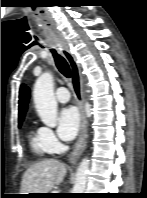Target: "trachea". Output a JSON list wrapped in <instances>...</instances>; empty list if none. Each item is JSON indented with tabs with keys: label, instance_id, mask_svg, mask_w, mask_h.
Here are the masks:
<instances>
[{
	"label": "trachea",
	"instance_id": "1",
	"mask_svg": "<svg viewBox=\"0 0 147 198\" xmlns=\"http://www.w3.org/2000/svg\"><path fill=\"white\" fill-rule=\"evenodd\" d=\"M51 52H52V55L54 57L55 64H56L58 70L66 78H70L71 77V70H70V67H69L67 61L65 60V58L62 57L60 54H58L57 51L54 50V49H52Z\"/></svg>",
	"mask_w": 147,
	"mask_h": 198
}]
</instances>
